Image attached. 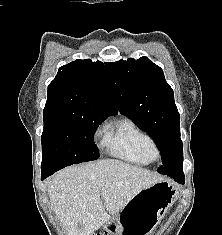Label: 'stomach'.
Here are the masks:
<instances>
[{
    "label": "stomach",
    "mask_w": 222,
    "mask_h": 235,
    "mask_svg": "<svg viewBox=\"0 0 222 235\" xmlns=\"http://www.w3.org/2000/svg\"><path fill=\"white\" fill-rule=\"evenodd\" d=\"M177 196L175 186L164 180L144 188L110 218L103 235H149Z\"/></svg>",
    "instance_id": "obj_1"
}]
</instances>
